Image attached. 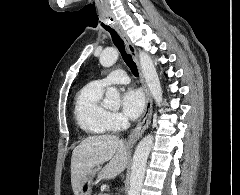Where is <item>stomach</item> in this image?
<instances>
[{
	"label": "stomach",
	"mask_w": 240,
	"mask_h": 195,
	"mask_svg": "<svg viewBox=\"0 0 240 195\" xmlns=\"http://www.w3.org/2000/svg\"><path fill=\"white\" fill-rule=\"evenodd\" d=\"M100 171H102L100 165H98V167H94L92 173H90V175H88L86 181H84L83 185H82V189L81 191H79V195H92V191H93V177H95V175H97V173H100Z\"/></svg>",
	"instance_id": "stomach-1"
}]
</instances>
